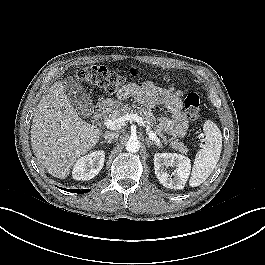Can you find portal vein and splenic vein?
Wrapping results in <instances>:
<instances>
[{"label": "portal vein and splenic vein", "mask_w": 265, "mask_h": 265, "mask_svg": "<svg viewBox=\"0 0 265 265\" xmlns=\"http://www.w3.org/2000/svg\"><path fill=\"white\" fill-rule=\"evenodd\" d=\"M127 121H136L139 124L145 125L146 122L143 120L142 117H140L138 114L136 113H128L122 117H119L117 119H108L104 121V125L110 129V130H119L121 129L123 126H125ZM146 127V132L148 134V136L150 137V139L154 142H156L157 144H161L160 139L157 137V135L151 130L149 125H145Z\"/></svg>", "instance_id": "1"}]
</instances>
